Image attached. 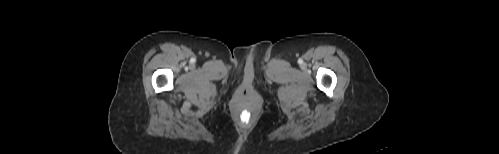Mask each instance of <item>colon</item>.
<instances>
[{"label": "colon", "mask_w": 499, "mask_h": 154, "mask_svg": "<svg viewBox=\"0 0 499 154\" xmlns=\"http://www.w3.org/2000/svg\"><path fill=\"white\" fill-rule=\"evenodd\" d=\"M251 114L246 106L240 109V119L243 122H248L250 120Z\"/></svg>", "instance_id": "obj_1"}]
</instances>
